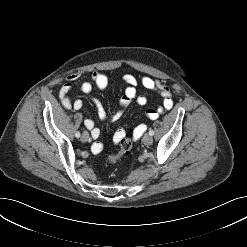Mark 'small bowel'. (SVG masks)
Masks as SVG:
<instances>
[{
    "instance_id": "obj_1",
    "label": "small bowel",
    "mask_w": 247,
    "mask_h": 247,
    "mask_svg": "<svg viewBox=\"0 0 247 247\" xmlns=\"http://www.w3.org/2000/svg\"><path fill=\"white\" fill-rule=\"evenodd\" d=\"M80 77L79 72H74L69 74L66 77V82L62 85L59 90L58 96L62 106L66 110H80L83 106V102L81 99L71 100L69 93L73 89V82ZM123 80L126 83V88L124 95L118 102V110L108 115L103 104L98 98L93 97L92 101L95 105L98 117L101 120H109V121H116L118 120L123 112L131 105L132 102H136L139 106H145L148 103V95L145 93L138 92V80L135 76L131 74H126L123 76ZM142 86L149 90L155 91L162 97V105L157 108H148L145 111V116L148 120H155L160 113L164 110H170L173 107L174 101L172 97L171 90L168 86L162 84L159 80L149 77L143 76L140 80ZM94 85L99 90H104L108 85V78L104 73L101 72H93L91 75V82H84L80 89L84 94L90 95L93 91ZM85 127L90 131L91 136L93 139L99 138L101 132L98 127L95 126V123L92 119L87 118L84 120ZM145 124H139L134 128L133 136L134 139H138L146 130ZM121 134L125 136V131L123 128H118L114 134V141L117 143L116 135ZM102 148V145L99 143H95L93 145L94 152H99Z\"/></svg>"
}]
</instances>
